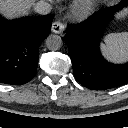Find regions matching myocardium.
I'll use <instances>...</instances> for the list:
<instances>
[{
    "instance_id": "myocardium-1",
    "label": "myocardium",
    "mask_w": 128,
    "mask_h": 128,
    "mask_svg": "<svg viewBox=\"0 0 128 128\" xmlns=\"http://www.w3.org/2000/svg\"><path fill=\"white\" fill-rule=\"evenodd\" d=\"M101 0H75L72 5V15L77 19L90 17L98 8Z\"/></svg>"
}]
</instances>
